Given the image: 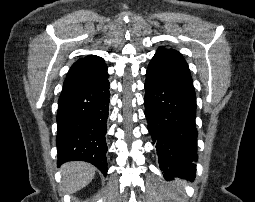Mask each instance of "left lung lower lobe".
I'll use <instances>...</instances> for the list:
<instances>
[{"label":"left lung lower lobe","instance_id":"obj_1","mask_svg":"<svg viewBox=\"0 0 255 202\" xmlns=\"http://www.w3.org/2000/svg\"><path fill=\"white\" fill-rule=\"evenodd\" d=\"M145 116L160 169L166 179L195 178L197 130L194 90L170 85L146 73Z\"/></svg>","mask_w":255,"mask_h":202}]
</instances>
